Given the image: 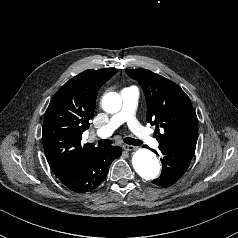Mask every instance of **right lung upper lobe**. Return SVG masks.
Masks as SVG:
<instances>
[{
  "label": "right lung upper lobe",
  "instance_id": "obj_1",
  "mask_svg": "<svg viewBox=\"0 0 238 238\" xmlns=\"http://www.w3.org/2000/svg\"><path fill=\"white\" fill-rule=\"evenodd\" d=\"M117 69L86 70L67 81L53 96L43 122V147L57 178L74 170L96 148L81 144L93 118L99 88Z\"/></svg>",
  "mask_w": 238,
  "mask_h": 238
}]
</instances>
